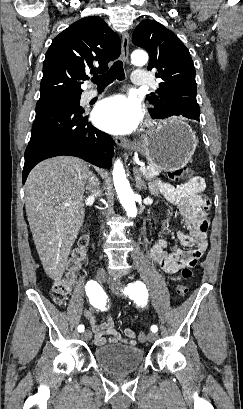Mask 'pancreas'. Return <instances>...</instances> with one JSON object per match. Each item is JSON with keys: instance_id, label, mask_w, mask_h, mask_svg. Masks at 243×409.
I'll return each mask as SVG.
<instances>
[{"instance_id": "cf45deb5", "label": "pancreas", "mask_w": 243, "mask_h": 409, "mask_svg": "<svg viewBox=\"0 0 243 409\" xmlns=\"http://www.w3.org/2000/svg\"><path fill=\"white\" fill-rule=\"evenodd\" d=\"M161 173V170L152 166H147L146 170L142 172L143 176L147 180H151L155 177H157Z\"/></svg>"}]
</instances>
